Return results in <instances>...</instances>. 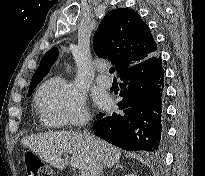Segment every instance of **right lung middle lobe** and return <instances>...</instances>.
<instances>
[{
    "label": "right lung middle lobe",
    "instance_id": "right-lung-middle-lobe-1",
    "mask_svg": "<svg viewBox=\"0 0 205 176\" xmlns=\"http://www.w3.org/2000/svg\"><path fill=\"white\" fill-rule=\"evenodd\" d=\"M32 92H33V90H29L28 91V96H30Z\"/></svg>",
    "mask_w": 205,
    "mask_h": 176
}]
</instances>
